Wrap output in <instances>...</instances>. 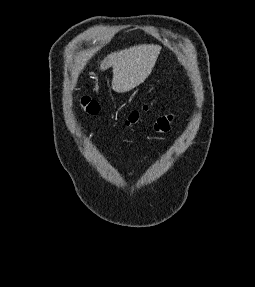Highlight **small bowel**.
Listing matches in <instances>:
<instances>
[{
    "label": "small bowel",
    "mask_w": 255,
    "mask_h": 287,
    "mask_svg": "<svg viewBox=\"0 0 255 287\" xmlns=\"http://www.w3.org/2000/svg\"><path fill=\"white\" fill-rule=\"evenodd\" d=\"M170 122H171L170 117L160 118L155 125V129L160 132L167 131L169 129Z\"/></svg>",
    "instance_id": "c3829d8e"
}]
</instances>
